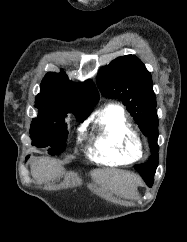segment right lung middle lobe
<instances>
[{
    "mask_svg": "<svg viewBox=\"0 0 187 242\" xmlns=\"http://www.w3.org/2000/svg\"><path fill=\"white\" fill-rule=\"evenodd\" d=\"M66 116L65 114L59 116L38 115L37 118H34L30 129L32 145L38 148H48V153L51 155L61 154L65 150L68 135ZM76 118L82 122L87 116H76Z\"/></svg>",
    "mask_w": 187,
    "mask_h": 242,
    "instance_id": "dd1d6c3e",
    "label": "right lung middle lobe"
}]
</instances>
